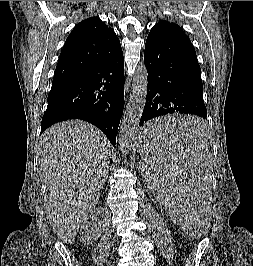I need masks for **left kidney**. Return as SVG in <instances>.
Returning a JSON list of instances; mask_svg holds the SVG:
<instances>
[{
  "label": "left kidney",
  "instance_id": "left-kidney-1",
  "mask_svg": "<svg viewBox=\"0 0 253 266\" xmlns=\"http://www.w3.org/2000/svg\"><path fill=\"white\" fill-rule=\"evenodd\" d=\"M174 221H177L178 224L180 225V223H179V219H178L177 217L174 218Z\"/></svg>",
  "mask_w": 253,
  "mask_h": 266
}]
</instances>
